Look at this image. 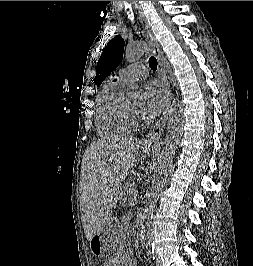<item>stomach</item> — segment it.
I'll list each match as a JSON object with an SVG mask.
<instances>
[{"instance_id": "0dacf381", "label": "stomach", "mask_w": 253, "mask_h": 266, "mask_svg": "<svg viewBox=\"0 0 253 266\" xmlns=\"http://www.w3.org/2000/svg\"><path fill=\"white\" fill-rule=\"evenodd\" d=\"M151 146L145 150L150 151ZM120 223L116 217H110L102 229L90 240L91 252L98 258L109 257L116 249L120 238Z\"/></svg>"}]
</instances>
